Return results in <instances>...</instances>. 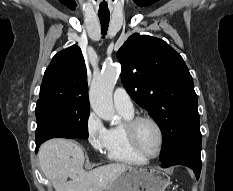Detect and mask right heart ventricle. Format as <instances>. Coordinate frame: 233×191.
Returning a JSON list of instances; mask_svg holds the SVG:
<instances>
[{"label": "right heart ventricle", "mask_w": 233, "mask_h": 191, "mask_svg": "<svg viewBox=\"0 0 233 191\" xmlns=\"http://www.w3.org/2000/svg\"><path fill=\"white\" fill-rule=\"evenodd\" d=\"M123 122L108 129L106 156L109 160L127 164H142L146 159L138 155L131 147L126 131V123L134 117L132 113L119 111Z\"/></svg>", "instance_id": "obj_1"}]
</instances>
